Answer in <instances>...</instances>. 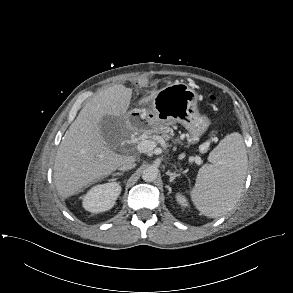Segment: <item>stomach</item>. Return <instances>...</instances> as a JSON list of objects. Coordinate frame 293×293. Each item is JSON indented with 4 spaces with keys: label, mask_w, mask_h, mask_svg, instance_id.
Instances as JSON below:
<instances>
[{
    "label": "stomach",
    "mask_w": 293,
    "mask_h": 293,
    "mask_svg": "<svg viewBox=\"0 0 293 293\" xmlns=\"http://www.w3.org/2000/svg\"><path fill=\"white\" fill-rule=\"evenodd\" d=\"M198 95L183 82H175L160 89L152 99L151 109L135 113L154 130L181 123L189 132V142H196L209 127L210 121L198 112Z\"/></svg>",
    "instance_id": "obj_1"
}]
</instances>
